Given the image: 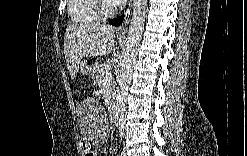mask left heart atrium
<instances>
[{"mask_svg":"<svg viewBox=\"0 0 247 156\" xmlns=\"http://www.w3.org/2000/svg\"><path fill=\"white\" fill-rule=\"evenodd\" d=\"M113 5H123L125 0H112L110 1Z\"/></svg>","mask_w":247,"mask_h":156,"instance_id":"39dd6f15","label":"left heart atrium"}]
</instances>
